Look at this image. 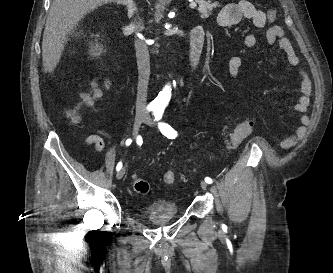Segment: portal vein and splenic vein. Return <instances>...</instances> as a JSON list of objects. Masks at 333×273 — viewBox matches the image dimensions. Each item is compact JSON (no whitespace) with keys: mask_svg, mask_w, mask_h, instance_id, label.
Returning a JSON list of instances; mask_svg holds the SVG:
<instances>
[{"mask_svg":"<svg viewBox=\"0 0 333 273\" xmlns=\"http://www.w3.org/2000/svg\"><path fill=\"white\" fill-rule=\"evenodd\" d=\"M196 6H197L196 3H191L190 4V8H192V9H194Z\"/></svg>","mask_w":333,"mask_h":273,"instance_id":"portal-vein-and-splenic-vein-1","label":"portal vein and splenic vein"}]
</instances>
